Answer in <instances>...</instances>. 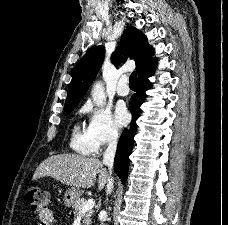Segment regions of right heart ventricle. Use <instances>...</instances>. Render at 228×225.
<instances>
[{
	"label": "right heart ventricle",
	"instance_id": "1",
	"mask_svg": "<svg viewBox=\"0 0 228 225\" xmlns=\"http://www.w3.org/2000/svg\"><path fill=\"white\" fill-rule=\"evenodd\" d=\"M69 145L82 155H94L98 150L86 132L81 131L77 125L72 128Z\"/></svg>",
	"mask_w": 228,
	"mask_h": 225
}]
</instances>
